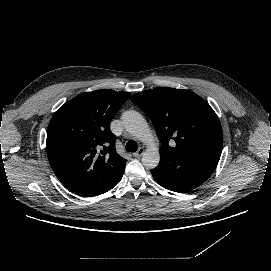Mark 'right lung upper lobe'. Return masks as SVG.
Masks as SVG:
<instances>
[{
	"label": "right lung upper lobe",
	"mask_w": 271,
	"mask_h": 271,
	"mask_svg": "<svg viewBox=\"0 0 271 271\" xmlns=\"http://www.w3.org/2000/svg\"><path fill=\"white\" fill-rule=\"evenodd\" d=\"M129 96L128 92L109 89L86 92L53 115L47 129L49 162L73 193L96 196L120 181L126 159L115 150V135L109 124Z\"/></svg>",
	"instance_id": "cb5924a9"
}]
</instances>
